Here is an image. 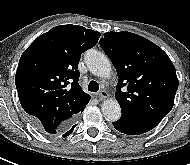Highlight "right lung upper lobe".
<instances>
[{
    "mask_svg": "<svg viewBox=\"0 0 190 165\" xmlns=\"http://www.w3.org/2000/svg\"><path fill=\"white\" fill-rule=\"evenodd\" d=\"M100 33L78 25H60L42 34L22 54L15 84L23 109L48 134H65L90 96L78 84L81 54Z\"/></svg>",
    "mask_w": 190,
    "mask_h": 165,
    "instance_id": "cb5924a9",
    "label": "right lung upper lobe"
}]
</instances>
